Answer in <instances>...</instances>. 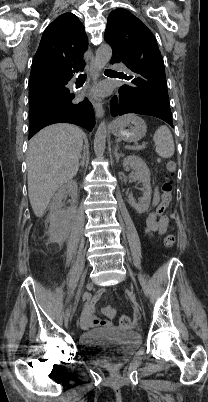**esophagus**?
<instances>
[{
    "mask_svg": "<svg viewBox=\"0 0 208 402\" xmlns=\"http://www.w3.org/2000/svg\"><path fill=\"white\" fill-rule=\"evenodd\" d=\"M86 69L93 83L97 79V69L95 64V58L92 52H90L89 59L86 62ZM89 99L95 109L96 116L98 118L102 117L104 114L102 101L94 97V95H92L91 93L89 95Z\"/></svg>",
    "mask_w": 208,
    "mask_h": 402,
    "instance_id": "obj_1",
    "label": "esophagus"
}]
</instances>
